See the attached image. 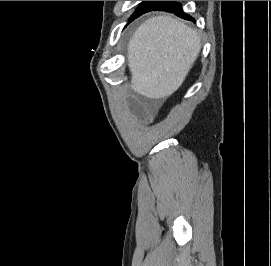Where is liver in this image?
Masks as SVG:
<instances>
[{"instance_id": "liver-1", "label": "liver", "mask_w": 271, "mask_h": 266, "mask_svg": "<svg viewBox=\"0 0 271 266\" xmlns=\"http://www.w3.org/2000/svg\"><path fill=\"white\" fill-rule=\"evenodd\" d=\"M197 30L169 15L149 18L130 39V88L147 98L172 95L201 51Z\"/></svg>"}]
</instances>
